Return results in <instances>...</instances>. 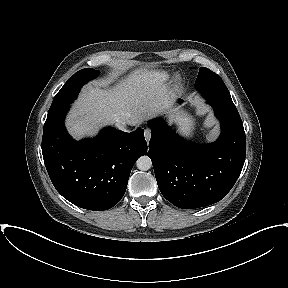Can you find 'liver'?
I'll list each match as a JSON object with an SVG mask.
<instances>
[{
  "label": "liver",
  "mask_w": 288,
  "mask_h": 288,
  "mask_svg": "<svg viewBox=\"0 0 288 288\" xmlns=\"http://www.w3.org/2000/svg\"><path fill=\"white\" fill-rule=\"evenodd\" d=\"M168 96L155 70H135L113 87L105 81L84 88L67 117L69 133L77 140L95 135L107 124L140 125L162 113Z\"/></svg>",
  "instance_id": "liver-1"
}]
</instances>
